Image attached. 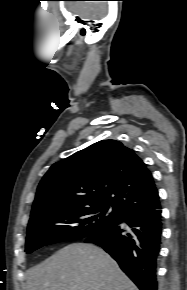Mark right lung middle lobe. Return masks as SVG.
<instances>
[{
  "label": "right lung middle lobe",
  "instance_id": "right-lung-middle-lobe-1",
  "mask_svg": "<svg viewBox=\"0 0 187 290\" xmlns=\"http://www.w3.org/2000/svg\"><path fill=\"white\" fill-rule=\"evenodd\" d=\"M108 205H91L73 210L51 213L28 225L26 253L68 240L87 238L115 224L121 213L113 209L106 215Z\"/></svg>",
  "mask_w": 187,
  "mask_h": 290
}]
</instances>
